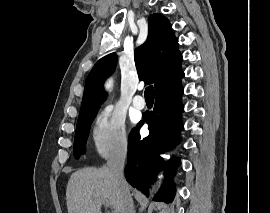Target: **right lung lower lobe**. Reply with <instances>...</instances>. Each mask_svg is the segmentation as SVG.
Wrapping results in <instances>:
<instances>
[{
	"instance_id": "obj_1",
	"label": "right lung lower lobe",
	"mask_w": 270,
	"mask_h": 213,
	"mask_svg": "<svg viewBox=\"0 0 270 213\" xmlns=\"http://www.w3.org/2000/svg\"><path fill=\"white\" fill-rule=\"evenodd\" d=\"M181 71L174 78L157 88L155 107L153 111L143 115L148 124L149 136L141 138L138 128L132 130L128 144V162L125 176L129 184L148 196V188L155 180L157 171L163 166V159L159 156L164 151L172 149L179 141L182 127L181 113L183 105L181 97L184 89ZM143 125V121L138 127ZM179 160L173 158L165 165L166 182L157 193L154 200L171 202L175 195L174 185L170 178L179 165Z\"/></svg>"
}]
</instances>
